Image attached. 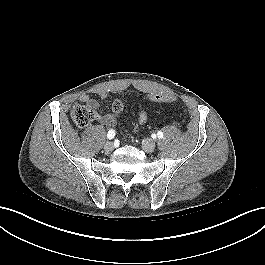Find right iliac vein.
<instances>
[{
    "label": "right iliac vein",
    "instance_id": "right-iliac-vein-1",
    "mask_svg": "<svg viewBox=\"0 0 265 265\" xmlns=\"http://www.w3.org/2000/svg\"><path fill=\"white\" fill-rule=\"evenodd\" d=\"M113 150H114V145H113L112 142L105 143V145H104V151L106 153H111Z\"/></svg>",
    "mask_w": 265,
    "mask_h": 265
}]
</instances>
